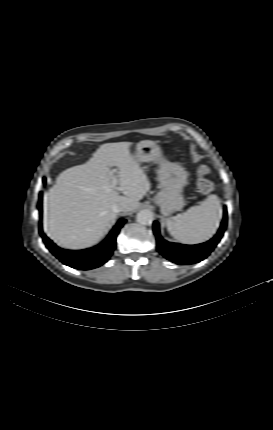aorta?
<instances>
[{
  "instance_id": "obj_1",
  "label": "aorta",
  "mask_w": 273,
  "mask_h": 430,
  "mask_svg": "<svg viewBox=\"0 0 273 430\" xmlns=\"http://www.w3.org/2000/svg\"><path fill=\"white\" fill-rule=\"evenodd\" d=\"M154 220V214L150 210H142L136 216V221L141 225H151Z\"/></svg>"
}]
</instances>
